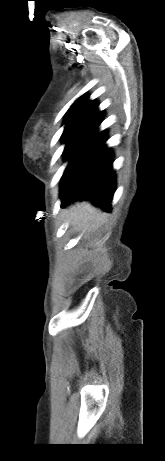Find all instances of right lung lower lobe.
Returning a JSON list of instances; mask_svg holds the SVG:
<instances>
[{
    "label": "right lung lower lobe",
    "mask_w": 165,
    "mask_h": 461,
    "mask_svg": "<svg viewBox=\"0 0 165 461\" xmlns=\"http://www.w3.org/2000/svg\"><path fill=\"white\" fill-rule=\"evenodd\" d=\"M106 131L98 133L66 168L60 188L61 207L76 200H90L110 210L116 189L113 154L107 147Z\"/></svg>",
    "instance_id": "right-lung-lower-lobe-1"
}]
</instances>
